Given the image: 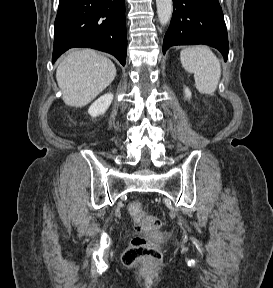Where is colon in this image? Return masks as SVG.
Returning <instances> with one entry per match:
<instances>
[{"label": "colon", "instance_id": "obj_1", "mask_svg": "<svg viewBox=\"0 0 273 288\" xmlns=\"http://www.w3.org/2000/svg\"><path fill=\"white\" fill-rule=\"evenodd\" d=\"M129 212L140 230L153 231L161 225L157 217L144 211L139 201H133L130 204ZM161 256L160 247L156 243L145 236H135L124 251L122 260L125 265L132 266L141 259L152 263L157 262Z\"/></svg>", "mask_w": 273, "mask_h": 288}]
</instances>
